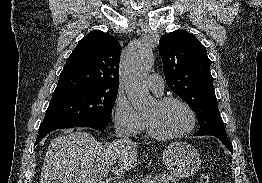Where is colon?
<instances>
[{
	"instance_id": "obj_1",
	"label": "colon",
	"mask_w": 262,
	"mask_h": 183,
	"mask_svg": "<svg viewBox=\"0 0 262 183\" xmlns=\"http://www.w3.org/2000/svg\"><path fill=\"white\" fill-rule=\"evenodd\" d=\"M199 182L200 183H210L211 182V178L210 175L207 173H203L200 178H199Z\"/></svg>"
}]
</instances>
